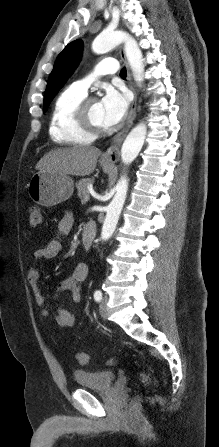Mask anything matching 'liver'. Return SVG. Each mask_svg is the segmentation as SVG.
Segmentation results:
<instances>
[{"label":"liver","mask_w":219,"mask_h":447,"mask_svg":"<svg viewBox=\"0 0 219 447\" xmlns=\"http://www.w3.org/2000/svg\"><path fill=\"white\" fill-rule=\"evenodd\" d=\"M101 151L96 147L76 145L58 148L46 153L37 163L36 169L58 172L64 175H90Z\"/></svg>","instance_id":"liver-1"}]
</instances>
